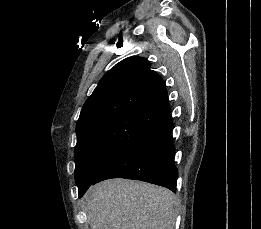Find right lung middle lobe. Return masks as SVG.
I'll use <instances>...</instances> for the list:
<instances>
[{
  "label": "right lung middle lobe",
  "mask_w": 261,
  "mask_h": 229,
  "mask_svg": "<svg viewBox=\"0 0 261 229\" xmlns=\"http://www.w3.org/2000/svg\"><path fill=\"white\" fill-rule=\"evenodd\" d=\"M151 130L136 132V143L148 136ZM132 147H113L108 145L82 144L75 147V179L79 197L89 188L94 179L111 163Z\"/></svg>",
  "instance_id": "obj_1"
}]
</instances>
